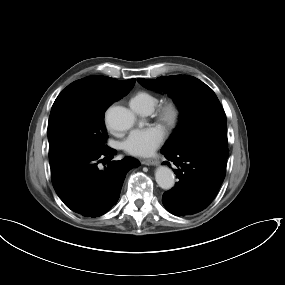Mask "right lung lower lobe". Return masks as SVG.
I'll list each match as a JSON object with an SVG mask.
<instances>
[{"label":"right lung lower lobe","mask_w":285,"mask_h":285,"mask_svg":"<svg viewBox=\"0 0 285 285\" xmlns=\"http://www.w3.org/2000/svg\"><path fill=\"white\" fill-rule=\"evenodd\" d=\"M116 153L107 147L70 156L51 166L53 187L69 209L85 217H98L116 204L126 173L139 166L135 158L125 157L109 161L104 170L98 168L100 161L112 159Z\"/></svg>","instance_id":"98d812e1"}]
</instances>
